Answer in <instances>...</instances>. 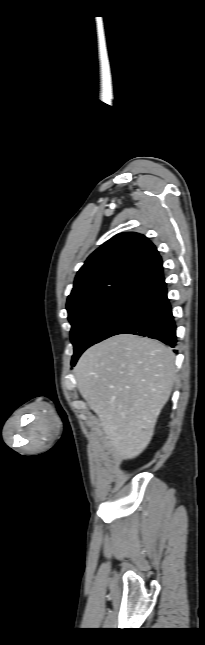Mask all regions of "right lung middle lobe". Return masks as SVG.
Listing matches in <instances>:
<instances>
[{"label": "right lung middle lobe", "mask_w": 205, "mask_h": 645, "mask_svg": "<svg viewBox=\"0 0 205 645\" xmlns=\"http://www.w3.org/2000/svg\"><path fill=\"white\" fill-rule=\"evenodd\" d=\"M147 294L148 289L123 286L67 306L74 345L72 365L85 349L103 340L110 330L134 311Z\"/></svg>", "instance_id": "1"}]
</instances>
